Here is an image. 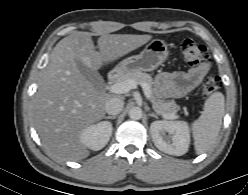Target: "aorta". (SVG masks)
Returning a JSON list of instances; mask_svg holds the SVG:
<instances>
[{
    "mask_svg": "<svg viewBox=\"0 0 248 195\" xmlns=\"http://www.w3.org/2000/svg\"><path fill=\"white\" fill-rule=\"evenodd\" d=\"M128 115L133 120H139L142 118V109L140 107H132Z\"/></svg>",
    "mask_w": 248,
    "mask_h": 195,
    "instance_id": "1",
    "label": "aorta"
}]
</instances>
